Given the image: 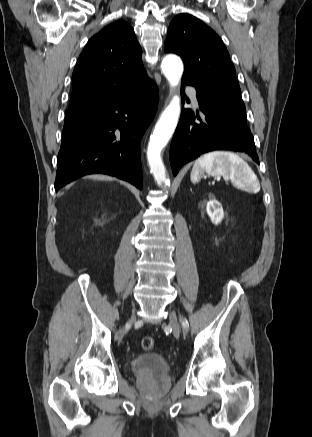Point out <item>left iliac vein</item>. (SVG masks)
I'll return each instance as SVG.
<instances>
[{"label":"left iliac vein","instance_id":"4c4485c4","mask_svg":"<svg viewBox=\"0 0 312 437\" xmlns=\"http://www.w3.org/2000/svg\"><path fill=\"white\" fill-rule=\"evenodd\" d=\"M185 320V319H184ZM169 324L173 329V333L176 337H179L180 335V327H179V323L177 320V316L175 314V312L170 311L169 313Z\"/></svg>","mask_w":312,"mask_h":437}]
</instances>
